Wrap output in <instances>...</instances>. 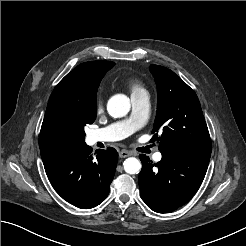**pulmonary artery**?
<instances>
[{
	"label": "pulmonary artery",
	"mask_w": 246,
	"mask_h": 246,
	"mask_svg": "<svg viewBox=\"0 0 246 246\" xmlns=\"http://www.w3.org/2000/svg\"><path fill=\"white\" fill-rule=\"evenodd\" d=\"M132 114L129 118L111 124L105 128L93 130L89 133L91 143L113 142L122 140L141 128L149 117L150 102L147 93H140L131 96ZM153 159L160 161L162 154L157 152Z\"/></svg>",
	"instance_id": "obj_1"
}]
</instances>
